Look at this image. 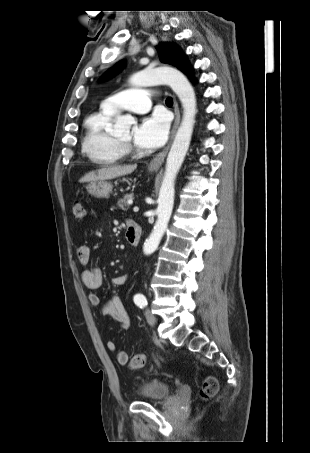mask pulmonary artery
<instances>
[{"instance_id":"pulmonary-artery-1","label":"pulmonary artery","mask_w":310,"mask_h":453,"mask_svg":"<svg viewBox=\"0 0 310 453\" xmlns=\"http://www.w3.org/2000/svg\"><path fill=\"white\" fill-rule=\"evenodd\" d=\"M151 91L142 89H129L120 91L102 103V107L110 112L126 109L134 113L143 114L150 109Z\"/></svg>"}]
</instances>
